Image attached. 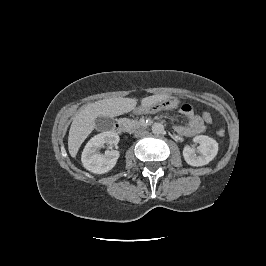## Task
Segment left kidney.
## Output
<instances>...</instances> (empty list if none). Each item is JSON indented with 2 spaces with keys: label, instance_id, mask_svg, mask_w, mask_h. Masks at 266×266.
Returning <instances> with one entry per match:
<instances>
[{
  "label": "left kidney",
  "instance_id": "left-kidney-1",
  "mask_svg": "<svg viewBox=\"0 0 266 266\" xmlns=\"http://www.w3.org/2000/svg\"><path fill=\"white\" fill-rule=\"evenodd\" d=\"M195 143L199 144L198 153L190 146H185L183 149V157L185 161L191 166H203L214 159L218 153V143L205 135H199L193 138Z\"/></svg>",
  "mask_w": 266,
  "mask_h": 266
}]
</instances>
